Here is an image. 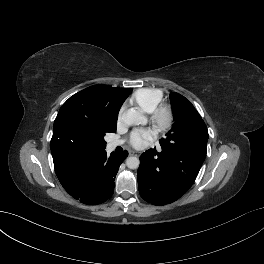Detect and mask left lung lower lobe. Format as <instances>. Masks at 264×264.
<instances>
[{
    "mask_svg": "<svg viewBox=\"0 0 264 264\" xmlns=\"http://www.w3.org/2000/svg\"><path fill=\"white\" fill-rule=\"evenodd\" d=\"M205 156L206 143L144 152L137 173L141 197L154 205L174 202L192 186Z\"/></svg>",
    "mask_w": 264,
    "mask_h": 264,
    "instance_id": "obj_1",
    "label": "left lung lower lobe"
}]
</instances>
